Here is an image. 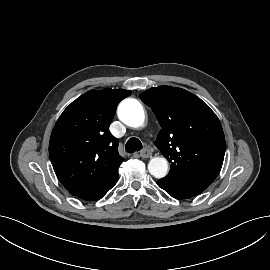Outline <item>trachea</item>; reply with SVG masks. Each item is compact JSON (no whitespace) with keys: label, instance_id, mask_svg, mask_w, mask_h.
I'll return each instance as SVG.
<instances>
[{"label":"trachea","instance_id":"3493384b","mask_svg":"<svg viewBox=\"0 0 270 270\" xmlns=\"http://www.w3.org/2000/svg\"><path fill=\"white\" fill-rule=\"evenodd\" d=\"M125 149L128 153H134L142 149V143L137 138H130L125 146Z\"/></svg>","mask_w":270,"mask_h":270}]
</instances>
